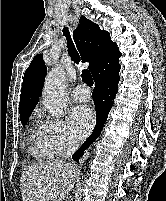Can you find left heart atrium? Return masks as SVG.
I'll list each match as a JSON object with an SVG mask.
<instances>
[{
	"instance_id": "39dd6f15",
	"label": "left heart atrium",
	"mask_w": 166,
	"mask_h": 201,
	"mask_svg": "<svg viewBox=\"0 0 166 201\" xmlns=\"http://www.w3.org/2000/svg\"><path fill=\"white\" fill-rule=\"evenodd\" d=\"M69 121L74 137L81 139L93 128L95 116L89 107L78 105L70 111Z\"/></svg>"
}]
</instances>
